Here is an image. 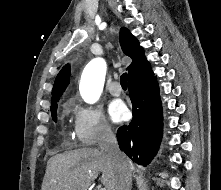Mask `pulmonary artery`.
Wrapping results in <instances>:
<instances>
[{
	"label": "pulmonary artery",
	"mask_w": 221,
	"mask_h": 190,
	"mask_svg": "<svg viewBox=\"0 0 221 190\" xmlns=\"http://www.w3.org/2000/svg\"><path fill=\"white\" fill-rule=\"evenodd\" d=\"M109 92L114 96H119L122 92L120 84L118 82H112L109 85Z\"/></svg>",
	"instance_id": "pulmonary-artery-1"
}]
</instances>
